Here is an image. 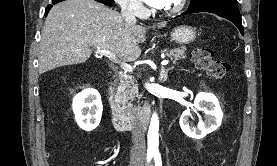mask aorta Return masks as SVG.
Returning a JSON list of instances; mask_svg holds the SVG:
<instances>
[{"mask_svg":"<svg viewBox=\"0 0 277 166\" xmlns=\"http://www.w3.org/2000/svg\"><path fill=\"white\" fill-rule=\"evenodd\" d=\"M159 119L156 113L152 115L148 130V149L150 151L157 150L159 145Z\"/></svg>","mask_w":277,"mask_h":166,"instance_id":"obj_1","label":"aorta"}]
</instances>
